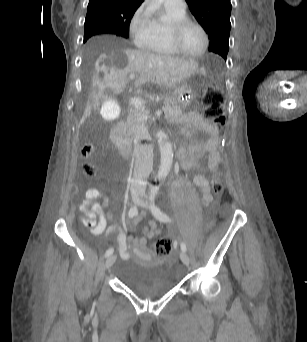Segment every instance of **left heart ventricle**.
<instances>
[{"instance_id": "obj_1", "label": "left heart ventricle", "mask_w": 307, "mask_h": 342, "mask_svg": "<svg viewBox=\"0 0 307 342\" xmlns=\"http://www.w3.org/2000/svg\"><path fill=\"white\" fill-rule=\"evenodd\" d=\"M185 50L191 55H198L204 47V34L199 25L192 23L188 25L182 36Z\"/></svg>"}]
</instances>
